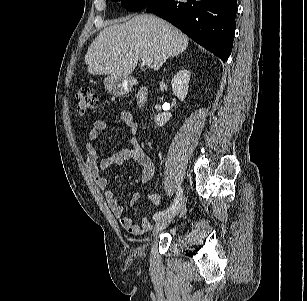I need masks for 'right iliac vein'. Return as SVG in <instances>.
Masks as SVG:
<instances>
[{"instance_id": "1", "label": "right iliac vein", "mask_w": 307, "mask_h": 301, "mask_svg": "<svg viewBox=\"0 0 307 301\" xmlns=\"http://www.w3.org/2000/svg\"><path fill=\"white\" fill-rule=\"evenodd\" d=\"M184 206L185 198H182L173 209L158 219L155 223L153 234H157L160 230L165 228L183 210Z\"/></svg>"}]
</instances>
